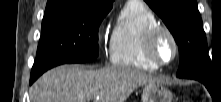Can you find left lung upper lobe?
Returning <instances> with one entry per match:
<instances>
[{
    "mask_svg": "<svg viewBox=\"0 0 221 102\" xmlns=\"http://www.w3.org/2000/svg\"><path fill=\"white\" fill-rule=\"evenodd\" d=\"M166 24L179 46V78L211 79V60L196 0H145Z\"/></svg>",
    "mask_w": 221,
    "mask_h": 102,
    "instance_id": "5c2ea615",
    "label": "left lung upper lobe"
}]
</instances>
